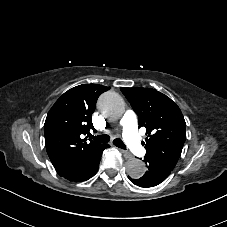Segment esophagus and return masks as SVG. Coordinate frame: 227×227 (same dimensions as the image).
<instances>
[{
  "label": "esophagus",
  "instance_id": "obj_1",
  "mask_svg": "<svg viewBox=\"0 0 227 227\" xmlns=\"http://www.w3.org/2000/svg\"><path fill=\"white\" fill-rule=\"evenodd\" d=\"M120 152L123 154V156H124V158L125 159H132L133 158V155L130 153V152H128V151H125V150H121L120 149Z\"/></svg>",
  "mask_w": 227,
  "mask_h": 227
}]
</instances>
